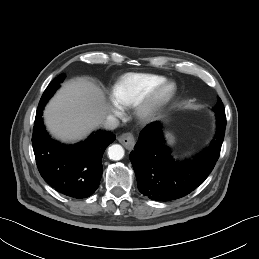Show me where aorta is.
<instances>
[{"mask_svg": "<svg viewBox=\"0 0 259 259\" xmlns=\"http://www.w3.org/2000/svg\"><path fill=\"white\" fill-rule=\"evenodd\" d=\"M108 156L112 160H120L124 156V149L121 145L119 144H114L109 147L108 149Z\"/></svg>", "mask_w": 259, "mask_h": 259, "instance_id": "1", "label": "aorta"}]
</instances>
